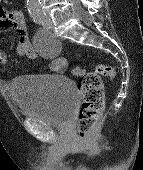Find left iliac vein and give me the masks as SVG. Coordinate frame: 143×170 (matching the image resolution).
Here are the masks:
<instances>
[{"label":"left iliac vein","mask_w":143,"mask_h":170,"mask_svg":"<svg viewBox=\"0 0 143 170\" xmlns=\"http://www.w3.org/2000/svg\"><path fill=\"white\" fill-rule=\"evenodd\" d=\"M47 24H48L47 29H51L53 27L52 20L49 16L47 17Z\"/></svg>","instance_id":"left-iliac-vein-1"}]
</instances>
